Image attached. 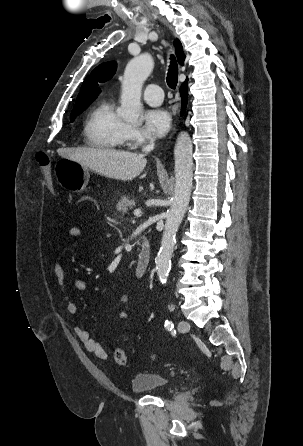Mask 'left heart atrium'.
Wrapping results in <instances>:
<instances>
[{
    "instance_id": "1",
    "label": "left heart atrium",
    "mask_w": 303,
    "mask_h": 446,
    "mask_svg": "<svg viewBox=\"0 0 303 446\" xmlns=\"http://www.w3.org/2000/svg\"><path fill=\"white\" fill-rule=\"evenodd\" d=\"M145 130L148 134L161 137L167 133L171 125V117L164 109H151L144 114Z\"/></svg>"
}]
</instances>
